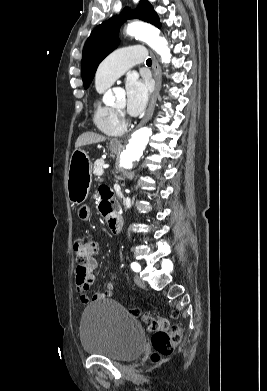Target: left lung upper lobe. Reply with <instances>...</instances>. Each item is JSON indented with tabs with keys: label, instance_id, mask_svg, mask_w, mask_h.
Segmentation results:
<instances>
[{
	"label": "left lung upper lobe",
	"instance_id": "obj_1",
	"mask_svg": "<svg viewBox=\"0 0 267 391\" xmlns=\"http://www.w3.org/2000/svg\"><path fill=\"white\" fill-rule=\"evenodd\" d=\"M129 18L141 19L160 27L159 17L147 0H140L135 11L125 8L120 16L111 17L97 26L83 49L81 71L84 88L89 87L99 63L118 46L120 26Z\"/></svg>",
	"mask_w": 267,
	"mask_h": 391
}]
</instances>
